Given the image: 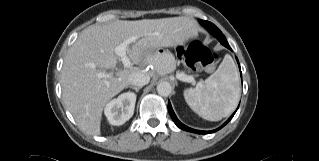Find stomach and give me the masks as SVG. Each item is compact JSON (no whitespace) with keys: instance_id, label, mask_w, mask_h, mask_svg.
Here are the masks:
<instances>
[{"instance_id":"1","label":"stomach","mask_w":319,"mask_h":161,"mask_svg":"<svg viewBox=\"0 0 319 161\" xmlns=\"http://www.w3.org/2000/svg\"><path fill=\"white\" fill-rule=\"evenodd\" d=\"M162 73L173 72L176 68V60L173 54L163 48L152 49L147 54Z\"/></svg>"}]
</instances>
